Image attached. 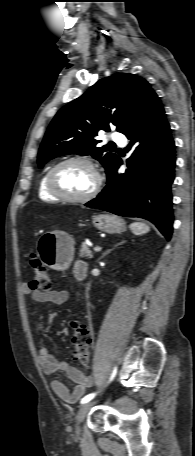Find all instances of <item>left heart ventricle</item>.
Here are the masks:
<instances>
[{
	"instance_id": "1",
	"label": "left heart ventricle",
	"mask_w": 195,
	"mask_h": 456,
	"mask_svg": "<svg viewBox=\"0 0 195 456\" xmlns=\"http://www.w3.org/2000/svg\"><path fill=\"white\" fill-rule=\"evenodd\" d=\"M95 177L92 170L82 163H69L56 175V184L65 194L83 196L93 188Z\"/></svg>"
}]
</instances>
